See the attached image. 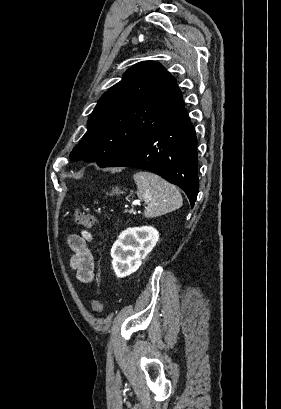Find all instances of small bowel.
Instances as JSON below:
<instances>
[{"label":"small bowel","mask_w":281,"mask_h":409,"mask_svg":"<svg viewBox=\"0 0 281 409\" xmlns=\"http://www.w3.org/2000/svg\"><path fill=\"white\" fill-rule=\"evenodd\" d=\"M92 240L90 233L72 234L68 238L72 251L70 266L77 279L84 284H91L95 279V259L88 247Z\"/></svg>","instance_id":"1"}]
</instances>
